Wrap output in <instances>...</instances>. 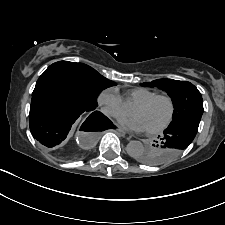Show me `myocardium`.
I'll list each match as a JSON object with an SVG mask.
<instances>
[{"label": "myocardium", "mask_w": 225, "mask_h": 225, "mask_svg": "<svg viewBox=\"0 0 225 225\" xmlns=\"http://www.w3.org/2000/svg\"><path fill=\"white\" fill-rule=\"evenodd\" d=\"M159 99H165L168 101V103L170 105V113H169L167 120L162 125H160L159 127L153 128V129L146 130V132L149 134L160 133V132L164 131L172 123L174 116H175V111H176L175 102H174L173 98L169 95L156 94L144 101H141V102L135 104V106H138V107H146V106L152 104L154 101L159 100Z\"/></svg>", "instance_id": "f54148a6"}]
</instances>
